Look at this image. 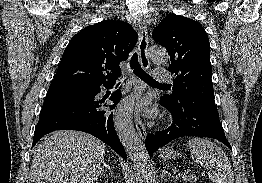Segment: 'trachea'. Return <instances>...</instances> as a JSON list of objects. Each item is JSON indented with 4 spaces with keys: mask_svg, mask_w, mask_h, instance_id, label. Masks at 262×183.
Returning a JSON list of instances; mask_svg holds the SVG:
<instances>
[{
    "mask_svg": "<svg viewBox=\"0 0 262 183\" xmlns=\"http://www.w3.org/2000/svg\"><path fill=\"white\" fill-rule=\"evenodd\" d=\"M130 68L133 70L134 74L141 78L145 83L149 85H160V86H168L165 84H161L155 81L149 74H147L140 66L138 62V55L134 53L130 60Z\"/></svg>",
    "mask_w": 262,
    "mask_h": 183,
    "instance_id": "1",
    "label": "trachea"
}]
</instances>
